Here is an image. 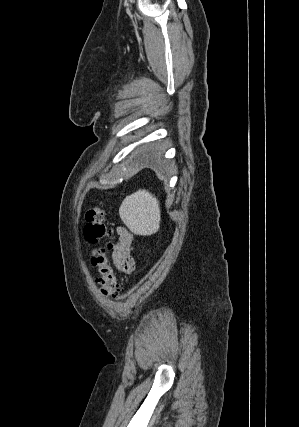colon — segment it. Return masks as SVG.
Segmentation results:
<instances>
[{
  "label": "colon",
  "instance_id": "colon-1",
  "mask_svg": "<svg viewBox=\"0 0 299 427\" xmlns=\"http://www.w3.org/2000/svg\"><path fill=\"white\" fill-rule=\"evenodd\" d=\"M86 225L84 235L91 244H98L104 239H109L108 249L113 248L111 242L113 235L105 221V211L101 206L90 207L85 215ZM93 264L98 268V284L100 292L106 297H119L124 291L122 280L118 279L113 267L110 265L104 250H98L92 258Z\"/></svg>",
  "mask_w": 299,
  "mask_h": 427
}]
</instances>
